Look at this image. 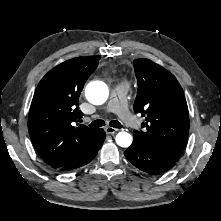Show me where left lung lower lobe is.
Returning <instances> with one entry per match:
<instances>
[{"label":"left lung lower lobe","instance_id":"obj_1","mask_svg":"<svg viewBox=\"0 0 221 221\" xmlns=\"http://www.w3.org/2000/svg\"><path fill=\"white\" fill-rule=\"evenodd\" d=\"M127 160L137 169L150 175H159L170 170L176 161L143 144L133 137V143L124 152Z\"/></svg>","mask_w":221,"mask_h":221}]
</instances>
